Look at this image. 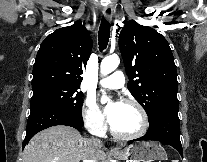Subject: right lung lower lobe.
<instances>
[{
  "instance_id": "obj_1",
  "label": "right lung lower lobe",
  "mask_w": 207,
  "mask_h": 162,
  "mask_svg": "<svg viewBox=\"0 0 207 162\" xmlns=\"http://www.w3.org/2000/svg\"><path fill=\"white\" fill-rule=\"evenodd\" d=\"M55 125H67L80 129L83 126L81 115L55 105H38L31 108L27 122L23 147L39 131Z\"/></svg>"
}]
</instances>
